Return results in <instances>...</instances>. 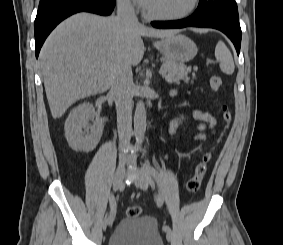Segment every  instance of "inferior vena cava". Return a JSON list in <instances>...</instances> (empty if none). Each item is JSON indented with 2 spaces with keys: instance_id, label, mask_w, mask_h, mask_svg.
Masks as SVG:
<instances>
[{
  "instance_id": "inferior-vena-cava-1",
  "label": "inferior vena cava",
  "mask_w": 283,
  "mask_h": 245,
  "mask_svg": "<svg viewBox=\"0 0 283 245\" xmlns=\"http://www.w3.org/2000/svg\"><path fill=\"white\" fill-rule=\"evenodd\" d=\"M117 17L125 23H138V19L130 0H117ZM133 87L131 66H120L114 74L109 92L116 104L120 149L128 146L131 139ZM125 159L126 157L123 154H120V160Z\"/></svg>"
}]
</instances>
